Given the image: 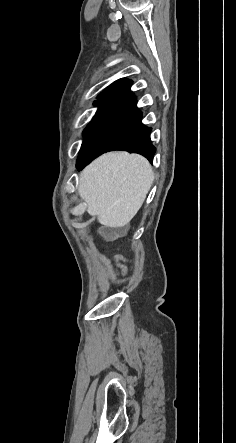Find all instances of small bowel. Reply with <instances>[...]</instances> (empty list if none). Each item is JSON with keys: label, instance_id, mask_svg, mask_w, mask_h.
I'll list each match as a JSON object with an SVG mask.
<instances>
[{"label": "small bowel", "instance_id": "c3829d8e", "mask_svg": "<svg viewBox=\"0 0 236 443\" xmlns=\"http://www.w3.org/2000/svg\"><path fill=\"white\" fill-rule=\"evenodd\" d=\"M121 261H122V259H121L120 257H117V258H116V262H117L118 264H120Z\"/></svg>", "mask_w": 236, "mask_h": 443}]
</instances>
